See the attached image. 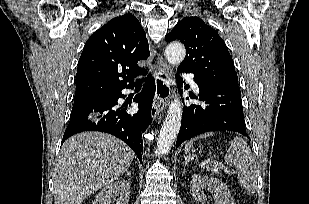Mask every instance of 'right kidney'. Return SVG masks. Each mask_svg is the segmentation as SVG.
Wrapping results in <instances>:
<instances>
[{
	"mask_svg": "<svg viewBox=\"0 0 309 204\" xmlns=\"http://www.w3.org/2000/svg\"><path fill=\"white\" fill-rule=\"evenodd\" d=\"M119 194L116 204H128L130 196V184L125 180H118L108 184L96 196L93 204H111V196Z\"/></svg>",
	"mask_w": 309,
	"mask_h": 204,
	"instance_id": "obj_1",
	"label": "right kidney"
}]
</instances>
